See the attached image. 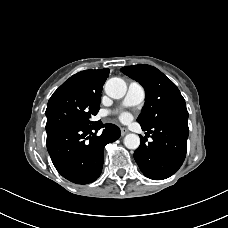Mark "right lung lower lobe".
I'll list each match as a JSON object with an SVG mask.
<instances>
[{
    "label": "right lung lower lobe",
    "instance_id": "obj_1",
    "mask_svg": "<svg viewBox=\"0 0 228 228\" xmlns=\"http://www.w3.org/2000/svg\"><path fill=\"white\" fill-rule=\"evenodd\" d=\"M104 127L100 136L96 132ZM120 137V129L101 121L89 125H67L47 133V149L57 171L77 184L95 181L101 174L104 147Z\"/></svg>",
    "mask_w": 228,
    "mask_h": 228
}]
</instances>
